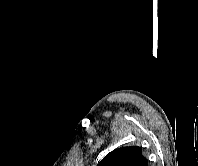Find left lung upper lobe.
I'll return each mask as SVG.
<instances>
[{"instance_id":"1","label":"left lung upper lobe","mask_w":198,"mask_h":166,"mask_svg":"<svg viewBox=\"0 0 198 166\" xmlns=\"http://www.w3.org/2000/svg\"><path fill=\"white\" fill-rule=\"evenodd\" d=\"M98 166H148L139 146L121 147L110 152Z\"/></svg>"}]
</instances>
